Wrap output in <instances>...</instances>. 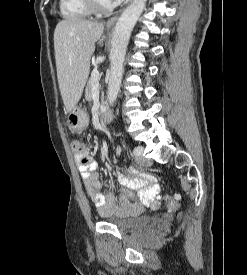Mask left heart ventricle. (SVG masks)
Returning <instances> with one entry per match:
<instances>
[{
  "label": "left heart ventricle",
  "mask_w": 247,
  "mask_h": 275,
  "mask_svg": "<svg viewBox=\"0 0 247 275\" xmlns=\"http://www.w3.org/2000/svg\"><path fill=\"white\" fill-rule=\"evenodd\" d=\"M98 1L102 6H105V7H108V6L112 5L110 0H98Z\"/></svg>",
  "instance_id": "1"
}]
</instances>
